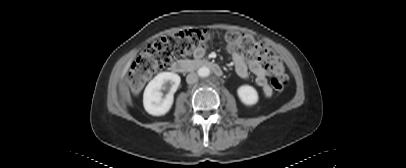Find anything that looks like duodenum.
Wrapping results in <instances>:
<instances>
[{
	"label": "duodenum",
	"instance_id": "410a0bca",
	"mask_svg": "<svg viewBox=\"0 0 406 168\" xmlns=\"http://www.w3.org/2000/svg\"><path fill=\"white\" fill-rule=\"evenodd\" d=\"M199 68H209L218 77L223 75L220 66L208 60H179L171 65V70L177 73H188Z\"/></svg>",
	"mask_w": 406,
	"mask_h": 168
}]
</instances>
